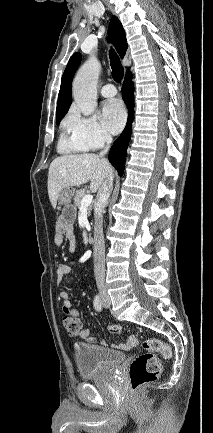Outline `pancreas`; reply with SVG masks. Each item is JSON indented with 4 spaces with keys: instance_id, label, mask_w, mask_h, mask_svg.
<instances>
[{
    "instance_id": "1",
    "label": "pancreas",
    "mask_w": 213,
    "mask_h": 433,
    "mask_svg": "<svg viewBox=\"0 0 213 433\" xmlns=\"http://www.w3.org/2000/svg\"><path fill=\"white\" fill-rule=\"evenodd\" d=\"M85 195H86L85 189H80V190H77V191H76V194H75V196H74V204H75V206H76L77 208H81V201H82V199H83V197H84ZM91 210H92V206L89 205V206L87 207V213H88V215H90Z\"/></svg>"
}]
</instances>
